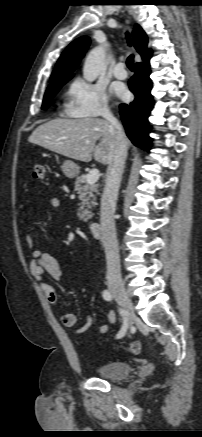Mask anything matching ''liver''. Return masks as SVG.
Returning <instances> with one entry per match:
<instances>
[{"label": "liver", "instance_id": "1", "mask_svg": "<svg viewBox=\"0 0 202 437\" xmlns=\"http://www.w3.org/2000/svg\"><path fill=\"white\" fill-rule=\"evenodd\" d=\"M100 140L96 145V141ZM113 128L99 118L54 119L38 126L28 141L68 158L109 165L113 157ZM126 149L130 146L124 134Z\"/></svg>", "mask_w": 202, "mask_h": 437}]
</instances>
